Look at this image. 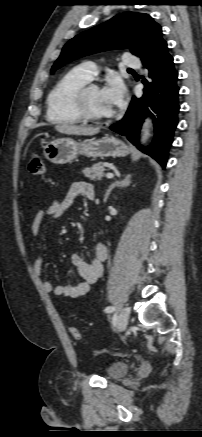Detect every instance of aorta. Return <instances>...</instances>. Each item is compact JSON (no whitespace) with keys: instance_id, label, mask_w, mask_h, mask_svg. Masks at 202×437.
<instances>
[{"instance_id":"1","label":"aorta","mask_w":202,"mask_h":437,"mask_svg":"<svg viewBox=\"0 0 202 437\" xmlns=\"http://www.w3.org/2000/svg\"><path fill=\"white\" fill-rule=\"evenodd\" d=\"M149 128H150V120L146 119L144 124H143V129H142V132H143L142 139H141L142 143H145L150 135Z\"/></svg>"}]
</instances>
